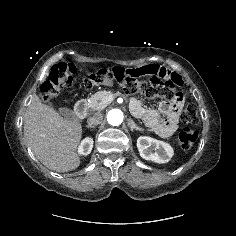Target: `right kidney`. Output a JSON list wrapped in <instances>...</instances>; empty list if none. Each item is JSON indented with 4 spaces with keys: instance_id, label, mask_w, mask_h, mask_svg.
Masks as SVG:
<instances>
[{
    "instance_id": "right-kidney-1",
    "label": "right kidney",
    "mask_w": 236,
    "mask_h": 236,
    "mask_svg": "<svg viewBox=\"0 0 236 236\" xmlns=\"http://www.w3.org/2000/svg\"><path fill=\"white\" fill-rule=\"evenodd\" d=\"M93 148V139L91 137H87L83 139L78 147V153L80 155H88L90 154Z\"/></svg>"
}]
</instances>
